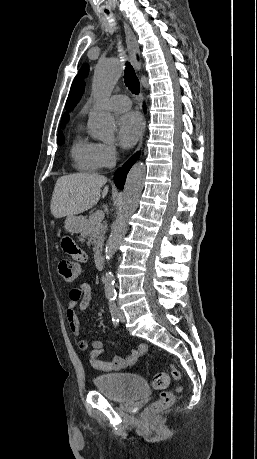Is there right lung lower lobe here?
Segmentation results:
<instances>
[{"label": "right lung lower lobe", "mask_w": 257, "mask_h": 459, "mask_svg": "<svg viewBox=\"0 0 257 459\" xmlns=\"http://www.w3.org/2000/svg\"><path fill=\"white\" fill-rule=\"evenodd\" d=\"M138 157H139V154L134 155L123 165V167L116 170L114 174V181H115L117 188L121 190L123 189L126 175L129 169L131 168V166L133 165V163L138 159Z\"/></svg>", "instance_id": "right-lung-lower-lobe-1"}]
</instances>
